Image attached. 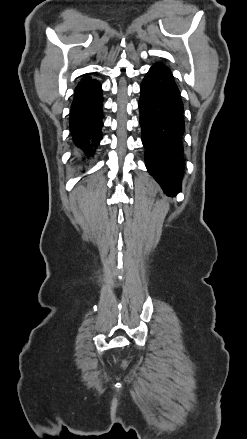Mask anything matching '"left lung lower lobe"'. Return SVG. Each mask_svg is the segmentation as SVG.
Here are the masks:
<instances>
[{
	"mask_svg": "<svg viewBox=\"0 0 247 439\" xmlns=\"http://www.w3.org/2000/svg\"><path fill=\"white\" fill-rule=\"evenodd\" d=\"M139 100L145 163L169 195L181 191L183 171V104L171 71L162 63L153 65L141 86Z\"/></svg>",
	"mask_w": 247,
	"mask_h": 439,
	"instance_id": "1",
	"label": "left lung lower lobe"
}]
</instances>
